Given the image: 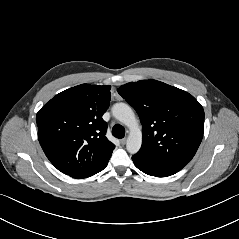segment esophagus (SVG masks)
<instances>
[{
	"label": "esophagus",
	"mask_w": 239,
	"mask_h": 239,
	"mask_svg": "<svg viewBox=\"0 0 239 239\" xmlns=\"http://www.w3.org/2000/svg\"><path fill=\"white\" fill-rule=\"evenodd\" d=\"M126 142H127V138H123V139L120 140V143H121L122 145H125Z\"/></svg>",
	"instance_id": "esophagus-1"
}]
</instances>
